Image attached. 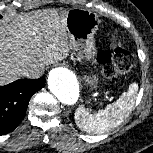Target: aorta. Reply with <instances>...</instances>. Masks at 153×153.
Listing matches in <instances>:
<instances>
[{"label": "aorta", "mask_w": 153, "mask_h": 153, "mask_svg": "<svg viewBox=\"0 0 153 153\" xmlns=\"http://www.w3.org/2000/svg\"><path fill=\"white\" fill-rule=\"evenodd\" d=\"M48 88L64 105L76 103L79 97V83L76 76L68 71H58L48 78Z\"/></svg>", "instance_id": "1"}]
</instances>
